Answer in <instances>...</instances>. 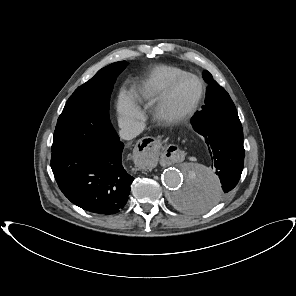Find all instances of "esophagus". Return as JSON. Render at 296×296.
Returning a JSON list of instances; mask_svg holds the SVG:
<instances>
[{"mask_svg": "<svg viewBox=\"0 0 296 296\" xmlns=\"http://www.w3.org/2000/svg\"><path fill=\"white\" fill-rule=\"evenodd\" d=\"M162 142L155 138H144L137 145L134 155L136 165L143 170L151 169L162 155Z\"/></svg>", "mask_w": 296, "mask_h": 296, "instance_id": "esophagus-1", "label": "esophagus"}]
</instances>
